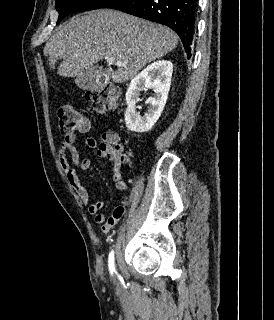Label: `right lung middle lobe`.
<instances>
[{
    "label": "right lung middle lobe",
    "mask_w": 274,
    "mask_h": 320,
    "mask_svg": "<svg viewBox=\"0 0 274 320\" xmlns=\"http://www.w3.org/2000/svg\"><path fill=\"white\" fill-rule=\"evenodd\" d=\"M112 0H56L55 7L59 12L57 23L71 12L90 11L103 8Z\"/></svg>",
    "instance_id": "obj_1"
}]
</instances>
